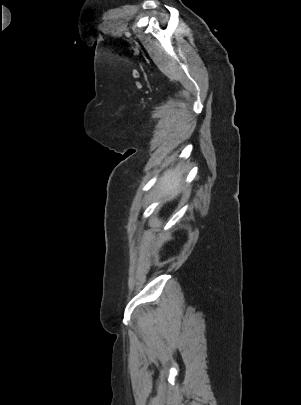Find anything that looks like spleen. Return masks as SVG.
<instances>
[{
    "instance_id": "spleen-1",
    "label": "spleen",
    "mask_w": 301,
    "mask_h": 405,
    "mask_svg": "<svg viewBox=\"0 0 301 405\" xmlns=\"http://www.w3.org/2000/svg\"><path fill=\"white\" fill-rule=\"evenodd\" d=\"M182 182V177L180 169L177 168L173 171H169L161 179L159 185L163 194H170L174 191L176 192L180 188V183Z\"/></svg>"
}]
</instances>
